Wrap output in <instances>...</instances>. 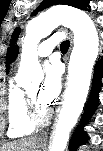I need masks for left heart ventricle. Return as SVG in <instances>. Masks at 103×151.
<instances>
[{
    "mask_svg": "<svg viewBox=\"0 0 103 151\" xmlns=\"http://www.w3.org/2000/svg\"><path fill=\"white\" fill-rule=\"evenodd\" d=\"M38 92H39V87L38 86H34V87H32L28 90L29 95L32 97V99L37 104L39 112L44 113L46 111V109H44L42 106H40L38 101H37Z\"/></svg>",
    "mask_w": 103,
    "mask_h": 151,
    "instance_id": "1",
    "label": "left heart ventricle"
}]
</instances>
